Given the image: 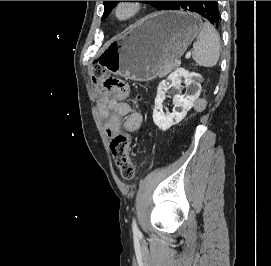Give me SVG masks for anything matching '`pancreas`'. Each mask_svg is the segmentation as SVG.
Wrapping results in <instances>:
<instances>
[{"label":"pancreas","mask_w":271,"mask_h":266,"mask_svg":"<svg viewBox=\"0 0 271 266\" xmlns=\"http://www.w3.org/2000/svg\"><path fill=\"white\" fill-rule=\"evenodd\" d=\"M177 67H178V64L176 61H174L172 63H168L164 66V70L160 73L159 76H164Z\"/></svg>","instance_id":"pancreas-1"}]
</instances>
